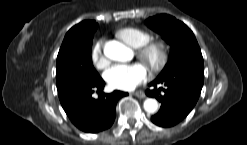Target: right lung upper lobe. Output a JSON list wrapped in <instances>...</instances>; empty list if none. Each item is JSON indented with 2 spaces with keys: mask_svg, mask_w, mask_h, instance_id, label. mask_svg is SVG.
Listing matches in <instances>:
<instances>
[{
  "mask_svg": "<svg viewBox=\"0 0 247 145\" xmlns=\"http://www.w3.org/2000/svg\"><path fill=\"white\" fill-rule=\"evenodd\" d=\"M98 24L95 21L85 20L72 27L67 34L71 33H92L96 31Z\"/></svg>",
  "mask_w": 247,
  "mask_h": 145,
  "instance_id": "right-lung-upper-lobe-1",
  "label": "right lung upper lobe"
}]
</instances>
